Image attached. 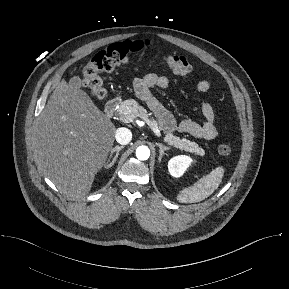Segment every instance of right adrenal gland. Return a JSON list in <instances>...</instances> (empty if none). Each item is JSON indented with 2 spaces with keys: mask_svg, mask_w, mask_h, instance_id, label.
Wrapping results in <instances>:
<instances>
[{
  "mask_svg": "<svg viewBox=\"0 0 289 289\" xmlns=\"http://www.w3.org/2000/svg\"><path fill=\"white\" fill-rule=\"evenodd\" d=\"M124 148V146H115L109 155V158L107 160V164L105 165V168L109 169L110 167H112L114 165V163L116 162L119 152ZM115 153L113 159L111 160L113 154Z\"/></svg>",
  "mask_w": 289,
  "mask_h": 289,
  "instance_id": "1",
  "label": "right adrenal gland"
}]
</instances>
